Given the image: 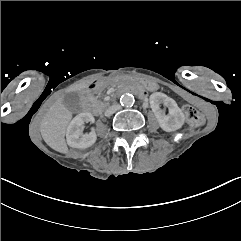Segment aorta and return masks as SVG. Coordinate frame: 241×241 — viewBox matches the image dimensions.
Instances as JSON below:
<instances>
[{
    "instance_id": "1",
    "label": "aorta",
    "mask_w": 241,
    "mask_h": 241,
    "mask_svg": "<svg viewBox=\"0 0 241 241\" xmlns=\"http://www.w3.org/2000/svg\"><path fill=\"white\" fill-rule=\"evenodd\" d=\"M135 102L134 96L132 94L126 93L123 94L120 98V103L122 106H132Z\"/></svg>"
}]
</instances>
